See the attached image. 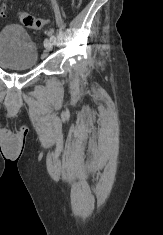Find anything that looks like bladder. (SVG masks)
<instances>
[{"label":"bladder","instance_id":"31cf9c89","mask_svg":"<svg viewBox=\"0 0 163 235\" xmlns=\"http://www.w3.org/2000/svg\"><path fill=\"white\" fill-rule=\"evenodd\" d=\"M38 62V47L20 25L0 30V65L9 69H33Z\"/></svg>","mask_w":163,"mask_h":235}]
</instances>
